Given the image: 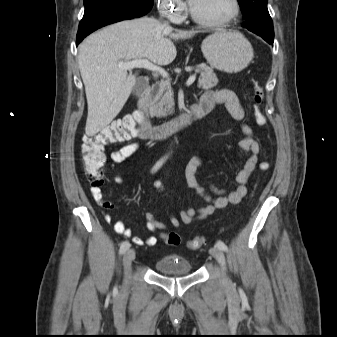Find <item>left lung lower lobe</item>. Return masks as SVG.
<instances>
[{"label":"left lung lower lobe","instance_id":"0a47b994","mask_svg":"<svg viewBox=\"0 0 337 337\" xmlns=\"http://www.w3.org/2000/svg\"><path fill=\"white\" fill-rule=\"evenodd\" d=\"M242 27L261 36L269 44H273L274 30L271 31L268 29L260 28V27H249V26H242Z\"/></svg>","mask_w":337,"mask_h":337}]
</instances>
